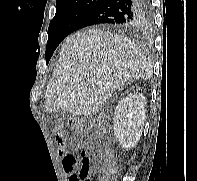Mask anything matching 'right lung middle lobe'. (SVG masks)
<instances>
[{"label":"right lung middle lobe","mask_w":197,"mask_h":181,"mask_svg":"<svg viewBox=\"0 0 197 181\" xmlns=\"http://www.w3.org/2000/svg\"><path fill=\"white\" fill-rule=\"evenodd\" d=\"M93 6L92 4H83L71 9L56 12L48 28V41L45 51L47 64L57 46L67 35L73 32L80 18Z\"/></svg>","instance_id":"dd1d6c3e"}]
</instances>
